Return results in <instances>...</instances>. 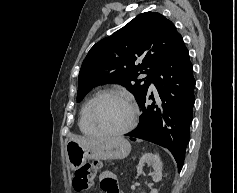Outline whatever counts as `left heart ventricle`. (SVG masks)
<instances>
[{
    "label": "left heart ventricle",
    "mask_w": 237,
    "mask_h": 193,
    "mask_svg": "<svg viewBox=\"0 0 237 193\" xmlns=\"http://www.w3.org/2000/svg\"><path fill=\"white\" fill-rule=\"evenodd\" d=\"M96 124L103 130L117 131L129 123L131 109L121 99L107 97L102 99L94 112Z\"/></svg>",
    "instance_id": "obj_1"
}]
</instances>
